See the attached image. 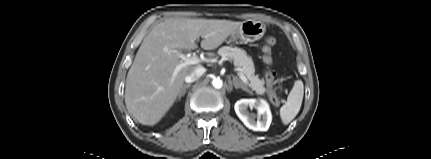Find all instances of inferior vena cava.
Masks as SVG:
<instances>
[{"instance_id":"602c4592","label":"inferior vena cava","mask_w":431,"mask_h":159,"mask_svg":"<svg viewBox=\"0 0 431 159\" xmlns=\"http://www.w3.org/2000/svg\"><path fill=\"white\" fill-rule=\"evenodd\" d=\"M206 69L202 66L197 67L195 70H193L190 74H188L185 77L186 83H192L196 81L198 78H200L204 73Z\"/></svg>"}]
</instances>
